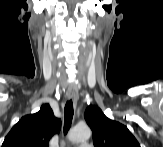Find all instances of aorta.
Returning <instances> with one entry per match:
<instances>
[{
  "label": "aorta",
  "instance_id": "1",
  "mask_svg": "<svg viewBox=\"0 0 163 147\" xmlns=\"http://www.w3.org/2000/svg\"><path fill=\"white\" fill-rule=\"evenodd\" d=\"M91 137V130L86 124L76 125L69 134V140L72 142L86 141Z\"/></svg>",
  "mask_w": 163,
  "mask_h": 147
}]
</instances>
